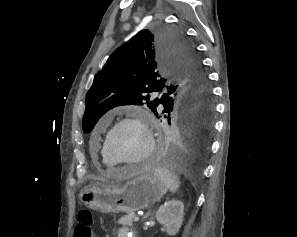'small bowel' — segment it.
<instances>
[{"label":"small bowel","instance_id":"c3829d8e","mask_svg":"<svg viewBox=\"0 0 297 237\" xmlns=\"http://www.w3.org/2000/svg\"><path fill=\"white\" fill-rule=\"evenodd\" d=\"M118 237H131V232L127 227H121L118 230Z\"/></svg>","mask_w":297,"mask_h":237}]
</instances>
